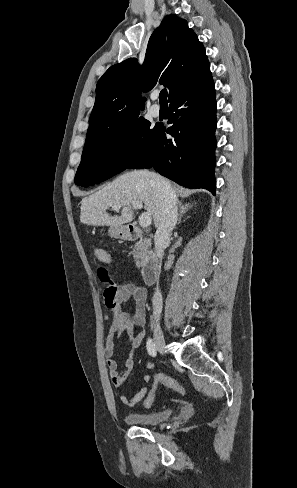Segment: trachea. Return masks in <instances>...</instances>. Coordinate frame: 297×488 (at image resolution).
I'll list each match as a JSON object with an SVG mask.
<instances>
[{"label":"trachea","mask_w":297,"mask_h":488,"mask_svg":"<svg viewBox=\"0 0 297 488\" xmlns=\"http://www.w3.org/2000/svg\"><path fill=\"white\" fill-rule=\"evenodd\" d=\"M160 104H167V90L163 89L159 95Z\"/></svg>","instance_id":"trachea-1"}]
</instances>
